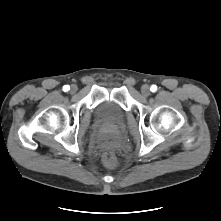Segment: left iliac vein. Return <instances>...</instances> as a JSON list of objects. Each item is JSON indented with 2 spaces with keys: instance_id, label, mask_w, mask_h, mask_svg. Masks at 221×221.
<instances>
[{
  "instance_id": "left-iliac-vein-1",
  "label": "left iliac vein",
  "mask_w": 221,
  "mask_h": 221,
  "mask_svg": "<svg viewBox=\"0 0 221 221\" xmlns=\"http://www.w3.org/2000/svg\"><path fill=\"white\" fill-rule=\"evenodd\" d=\"M141 93L143 94V96L148 97L150 95V87L148 85H143L141 87Z\"/></svg>"
}]
</instances>
